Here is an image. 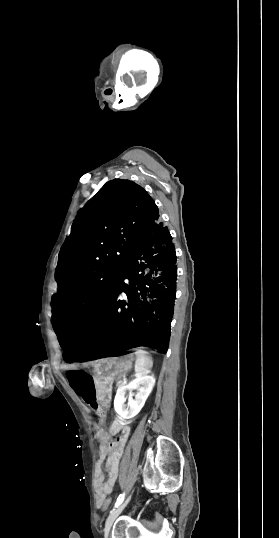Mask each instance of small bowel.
<instances>
[{"label":"small bowel","instance_id":"small-bowel-1","mask_svg":"<svg viewBox=\"0 0 279 538\" xmlns=\"http://www.w3.org/2000/svg\"><path fill=\"white\" fill-rule=\"evenodd\" d=\"M67 379L76 396L93 410L98 418V422L95 424V437L100 442L97 464V493L98 501L102 504L104 498L112 493L117 481L119 461L129 438L130 427L118 421L113 422L108 430L102 427L106 412L98 402L95 381L92 375L82 370L70 371ZM116 434H118L116 439L110 442V436ZM104 461L107 472L106 478L101 468Z\"/></svg>","mask_w":279,"mask_h":538}]
</instances>
